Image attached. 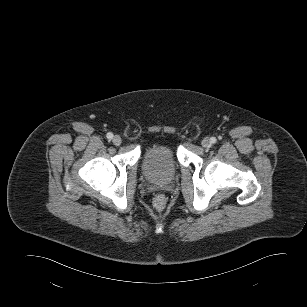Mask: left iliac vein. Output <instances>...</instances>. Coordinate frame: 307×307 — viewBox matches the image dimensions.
Listing matches in <instances>:
<instances>
[{
  "label": "left iliac vein",
  "instance_id": "left-iliac-vein-1",
  "mask_svg": "<svg viewBox=\"0 0 307 307\" xmlns=\"http://www.w3.org/2000/svg\"><path fill=\"white\" fill-rule=\"evenodd\" d=\"M210 139L209 138H204L203 140H202V146L204 147V148H207V147H209L210 146Z\"/></svg>",
  "mask_w": 307,
  "mask_h": 307
}]
</instances>
